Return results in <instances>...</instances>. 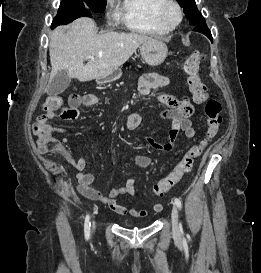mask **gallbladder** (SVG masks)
Segmentation results:
<instances>
[{
  "instance_id": "obj_1",
  "label": "gallbladder",
  "mask_w": 261,
  "mask_h": 273,
  "mask_svg": "<svg viewBox=\"0 0 261 273\" xmlns=\"http://www.w3.org/2000/svg\"><path fill=\"white\" fill-rule=\"evenodd\" d=\"M71 82V78L68 76L67 70H61L51 80L47 94L50 96H57L63 93Z\"/></svg>"
}]
</instances>
